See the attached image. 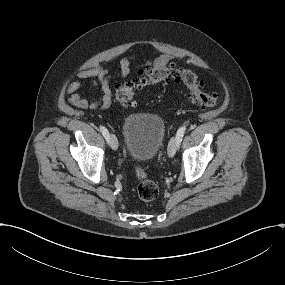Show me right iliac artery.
Returning <instances> with one entry per match:
<instances>
[{
  "label": "right iliac artery",
  "mask_w": 285,
  "mask_h": 285,
  "mask_svg": "<svg viewBox=\"0 0 285 285\" xmlns=\"http://www.w3.org/2000/svg\"><path fill=\"white\" fill-rule=\"evenodd\" d=\"M99 129H100L102 135H103V136L105 137V139H107V141H108V139H109V132H108V130H107L104 126H100Z\"/></svg>",
  "instance_id": "82829eb1"
}]
</instances>
